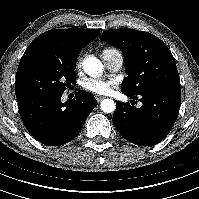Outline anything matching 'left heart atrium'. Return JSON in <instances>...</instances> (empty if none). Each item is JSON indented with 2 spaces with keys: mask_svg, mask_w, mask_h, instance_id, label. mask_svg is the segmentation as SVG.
<instances>
[{
  "mask_svg": "<svg viewBox=\"0 0 199 199\" xmlns=\"http://www.w3.org/2000/svg\"><path fill=\"white\" fill-rule=\"evenodd\" d=\"M116 82L114 80H107L101 77H92L86 79L82 83V87L92 93L97 95H105L112 91Z\"/></svg>",
  "mask_w": 199,
  "mask_h": 199,
  "instance_id": "left-heart-atrium-1",
  "label": "left heart atrium"
}]
</instances>
